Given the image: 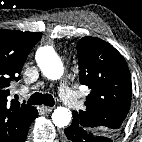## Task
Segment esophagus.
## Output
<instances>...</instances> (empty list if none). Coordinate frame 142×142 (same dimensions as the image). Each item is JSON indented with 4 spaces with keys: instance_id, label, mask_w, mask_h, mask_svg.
<instances>
[{
    "instance_id": "34e87169",
    "label": "esophagus",
    "mask_w": 142,
    "mask_h": 142,
    "mask_svg": "<svg viewBox=\"0 0 142 142\" xmlns=\"http://www.w3.org/2000/svg\"><path fill=\"white\" fill-rule=\"evenodd\" d=\"M42 109L46 112L49 113L53 110V107H48V106H42Z\"/></svg>"
}]
</instances>
